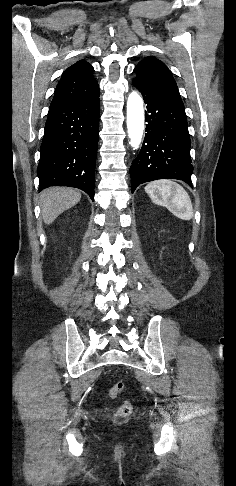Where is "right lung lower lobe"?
<instances>
[{
    "label": "right lung lower lobe",
    "mask_w": 236,
    "mask_h": 486,
    "mask_svg": "<svg viewBox=\"0 0 236 486\" xmlns=\"http://www.w3.org/2000/svg\"><path fill=\"white\" fill-rule=\"evenodd\" d=\"M98 135L99 93L49 108L37 169L39 191L50 186L76 187L94 200Z\"/></svg>",
    "instance_id": "1"
}]
</instances>
